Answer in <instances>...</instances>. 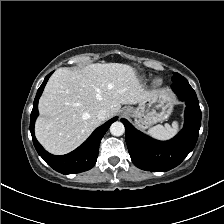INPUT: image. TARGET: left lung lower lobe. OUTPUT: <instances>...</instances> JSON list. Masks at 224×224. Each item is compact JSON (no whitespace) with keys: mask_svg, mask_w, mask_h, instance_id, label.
<instances>
[{"mask_svg":"<svg viewBox=\"0 0 224 224\" xmlns=\"http://www.w3.org/2000/svg\"><path fill=\"white\" fill-rule=\"evenodd\" d=\"M173 91L185 101L184 127L173 139L157 141L135 129L127 120L125 126L126 143L132 162L146 171L165 172L178 166L193 150L201 126V110L195 91L186 78L173 82Z\"/></svg>","mask_w":224,"mask_h":224,"instance_id":"0a47b994","label":"left lung lower lobe"}]
</instances>
